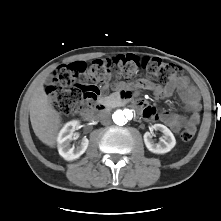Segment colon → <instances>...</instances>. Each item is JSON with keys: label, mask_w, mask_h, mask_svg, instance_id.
<instances>
[{"label": "colon", "mask_w": 221, "mask_h": 221, "mask_svg": "<svg viewBox=\"0 0 221 221\" xmlns=\"http://www.w3.org/2000/svg\"><path fill=\"white\" fill-rule=\"evenodd\" d=\"M138 71H146L155 84L164 86L172 84L183 75L179 66L158 58L139 59L124 55L97 59L90 64L76 61L59 67L47 87V95L56 110L72 114L88 107L97 98L98 84L106 81L111 73L130 76ZM194 134L195 130L184 129L181 139L190 141Z\"/></svg>", "instance_id": "1"}]
</instances>
